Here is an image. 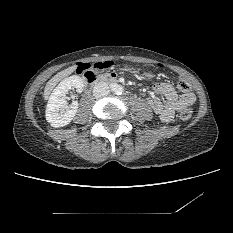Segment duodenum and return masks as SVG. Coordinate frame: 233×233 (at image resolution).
Instances as JSON below:
<instances>
[{"label":"duodenum","instance_id":"obj_1","mask_svg":"<svg viewBox=\"0 0 233 233\" xmlns=\"http://www.w3.org/2000/svg\"><path fill=\"white\" fill-rule=\"evenodd\" d=\"M85 81L88 84H95V83H98V82H108V83H111V82H115L116 79L113 76H111V75L99 76L97 74H94L90 79L89 78H85Z\"/></svg>","mask_w":233,"mask_h":233}]
</instances>
